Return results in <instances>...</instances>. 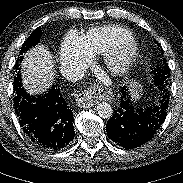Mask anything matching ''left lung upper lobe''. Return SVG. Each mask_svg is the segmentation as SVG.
<instances>
[{
  "mask_svg": "<svg viewBox=\"0 0 183 183\" xmlns=\"http://www.w3.org/2000/svg\"><path fill=\"white\" fill-rule=\"evenodd\" d=\"M154 72V83L157 86L166 87L168 85L170 72L165 59H163V62L160 66H157Z\"/></svg>",
  "mask_w": 183,
  "mask_h": 183,
  "instance_id": "5c2ea615",
  "label": "left lung upper lobe"
}]
</instances>
